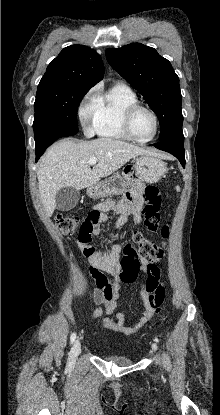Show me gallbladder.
<instances>
[{
	"mask_svg": "<svg viewBox=\"0 0 220 415\" xmlns=\"http://www.w3.org/2000/svg\"><path fill=\"white\" fill-rule=\"evenodd\" d=\"M80 198L79 190L73 187H65L56 193V208L60 211H68L73 209Z\"/></svg>",
	"mask_w": 220,
	"mask_h": 415,
	"instance_id": "bac80fb5",
	"label": "gallbladder"
}]
</instances>
